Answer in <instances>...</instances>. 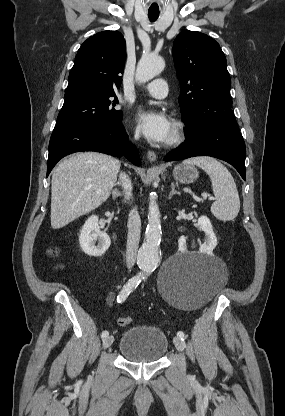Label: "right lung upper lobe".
Segmentation results:
<instances>
[{"label":"right lung upper lobe","instance_id":"cb5924a9","mask_svg":"<svg viewBox=\"0 0 285 416\" xmlns=\"http://www.w3.org/2000/svg\"><path fill=\"white\" fill-rule=\"evenodd\" d=\"M126 60V42L118 31L89 37L79 48L65 96H116Z\"/></svg>","mask_w":285,"mask_h":416}]
</instances>
